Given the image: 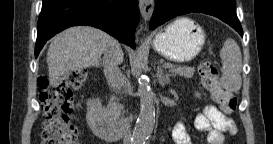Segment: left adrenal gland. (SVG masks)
<instances>
[{"instance_id":"obj_1","label":"left adrenal gland","mask_w":273,"mask_h":144,"mask_svg":"<svg viewBox=\"0 0 273 144\" xmlns=\"http://www.w3.org/2000/svg\"><path fill=\"white\" fill-rule=\"evenodd\" d=\"M156 76H157L158 83L162 87H165L166 84L170 83L171 74L164 73V70L161 66L157 67Z\"/></svg>"}]
</instances>
